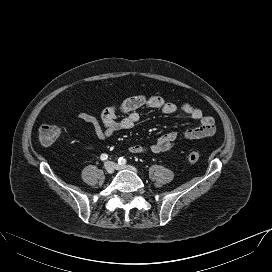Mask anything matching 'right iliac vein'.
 Segmentation results:
<instances>
[{
    "instance_id": "63e3f726",
    "label": "right iliac vein",
    "mask_w": 272,
    "mask_h": 272,
    "mask_svg": "<svg viewBox=\"0 0 272 272\" xmlns=\"http://www.w3.org/2000/svg\"><path fill=\"white\" fill-rule=\"evenodd\" d=\"M105 171L108 173V174H112L114 172V168L111 164L109 163H105Z\"/></svg>"
}]
</instances>
